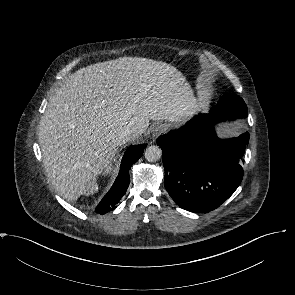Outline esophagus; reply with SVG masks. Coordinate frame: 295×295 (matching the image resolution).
I'll use <instances>...</instances> for the list:
<instances>
[{
    "label": "esophagus",
    "mask_w": 295,
    "mask_h": 295,
    "mask_svg": "<svg viewBox=\"0 0 295 295\" xmlns=\"http://www.w3.org/2000/svg\"><path fill=\"white\" fill-rule=\"evenodd\" d=\"M167 129V126L163 123H157L153 126L152 128V136L153 138H157L160 136L162 133H164Z\"/></svg>",
    "instance_id": "1"
}]
</instances>
